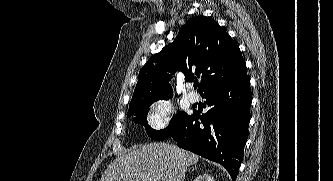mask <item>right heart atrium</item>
Here are the masks:
<instances>
[{
  "label": "right heart atrium",
  "mask_w": 333,
  "mask_h": 181,
  "mask_svg": "<svg viewBox=\"0 0 333 181\" xmlns=\"http://www.w3.org/2000/svg\"><path fill=\"white\" fill-rule=\"evenodd\" d=\"M174 106L168 99H159L150 104L147 113V121L152 129L165 128L172 119Z\"/></svg>",
  "instance_id": "right-heart-atrium-1"
}]
</instances>
